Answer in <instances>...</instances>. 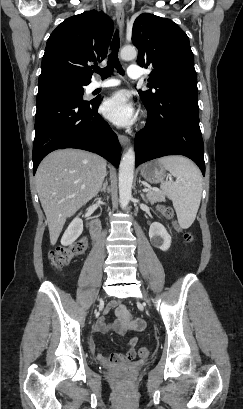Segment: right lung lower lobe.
<instances>
[{
    "instance_id": "1",
    "label": "right lung lower lobe",
    "mask_w": 243,
    "mask_h": 409,
    "mask_svg": "<svg viewBox=\"0 0 243 409\" xmlns=\"http://www.w3.org/2000/svg\"><path fill=\"white\" fill-rule=\"evenodd\" d=\"M100 102V98L85 101L73 96L37 101L33 174L48 153L63 148L91 151L119 166L121 147L116 134L97 112Z\"/></svg>"
}]
</instances>
